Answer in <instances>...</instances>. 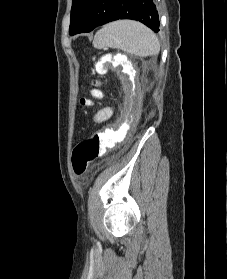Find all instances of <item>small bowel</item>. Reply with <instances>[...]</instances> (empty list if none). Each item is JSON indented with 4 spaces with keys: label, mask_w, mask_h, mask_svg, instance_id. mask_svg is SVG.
<instances>
[{
    "label": "small bowel",
    "mask_w": 227,
    "mask_h": 279,
    "mask_svg": "<svg viewBox=\"0 0 227 279\" xmlns=\"http://www.w3.org/2000/svg\"><path fill=\"white\" fill-rule=\"evenodd\" d=\"M111 114H112V109L110 107H106L98 111L97 114L94 116V119L97 122H105L110 118Z\"/></svg>",
    "instance_id": "c3829d8e"
}]
</instances>
